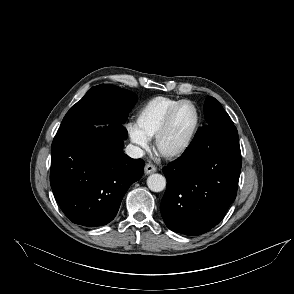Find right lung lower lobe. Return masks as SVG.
I'll list each match as a JSON object with an SVG mask.
<instances>
[{"label":"right lung lower lobe","mask_w":294,"mask_h":294,"mask_svg":"<svg viewBox=\"0 0 294 294\" xmlns=\"http://www.w3.org/2000/svg\"><path fill=\"white\" fill-rule=\"evenodd\" d=\"M111 85L92 87L88 94L111 105ZM127 130L112 122L102 131L94 125L59 132L51 146L50 184L63 213L75 224L102 226L116 216L122 198L143 175L144 161L123 153Z\"/></svg>","instance_id":"right-lung-lower-lobe-1"}]
</instances>
